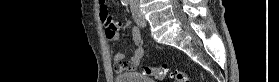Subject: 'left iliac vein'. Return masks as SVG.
<instances>
[{
    "mask_svg": "<svg viewBox=\"0 0 279 82\" xmlns=\"http://www.w3.org/2000/svg\"><path fill=\"white\" fill-rule=\"evenodd\" d=\"M132 14L135 22L140 25V26H145L146 25V20L142 16L139 8L137 6H132Z\"/></svg>",
    "mask_w": 279,
    "mask_h": 82,
    "instance_id": "left-iliac-vein-1",
    "label": "left iliac vein"
}]
</instances>
